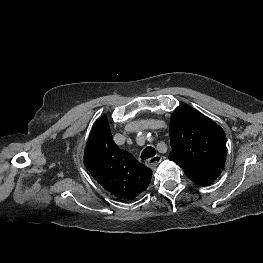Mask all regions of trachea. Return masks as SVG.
<instances>
[{"mask_svg": "<svg viewBox=\"0 0 263 263\" xmlns=\"http://www.w3.org/2000/svg\"><path fill=\"white\" fill-rule=\"evenodd\" d=\"M155 154H156L155 149L153 147L149 146L142 151L141 159L145 160V159L151 158V157L155 156Z\"/></svg>", "mask_w": 263, "mask_h": 263, "instance_id": "3493384b", "label": "trachea"}]
</instances>
